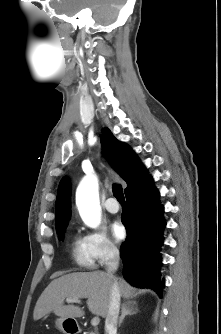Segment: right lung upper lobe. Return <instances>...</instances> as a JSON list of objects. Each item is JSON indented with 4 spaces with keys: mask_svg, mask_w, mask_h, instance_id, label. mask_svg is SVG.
Masks as SVG:
<instances>
[{
    "mask_svg": "<svg viewBox=\"0 0 221 334\" xmlns=\"http://www.w3.org/2000/svg\"><path fill=\"white\" fill-rule=\"evenodd\" d=\"M101 141L113 167L127 183L125 193L136 188L149 177L135 153L127 145L119 142L108 128L102 130ZM69 218L70 189L68 181L63 179L59 184L56 199V231L67 227Z\"/></svg>",
    "mask_w": 221,
    "mask_h": 334,
    "instance_id": "1",
    "label": "right lung upper lobe"
}]
</instances>
